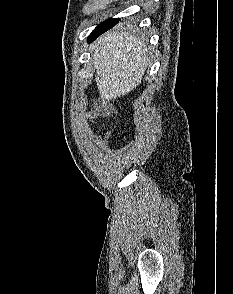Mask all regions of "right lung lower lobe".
I'll use <instances>...</instances> for the list:
<instances>
[{
	"label": "right lung lower lobe",
	"instance_id": "1",
	"mask_svg": "<svg viewBox=\"0 0 233 294\" xmlns=\"http://www.w3.org/2000/svg\"><path fill=\"white\" fill-rule=\"evenodd\" d=\"M118 22V21H117ZM117 22H109V23H103L99 25L88 37V42L93 41L97 38L100 34L107 31L108 29L112 28Z\"/></svg>",
	"mask_w": 233,
	"mask_h": 294
}]
</instances>
